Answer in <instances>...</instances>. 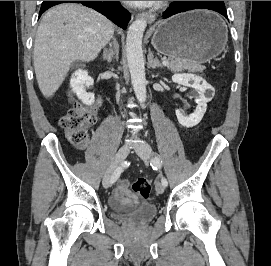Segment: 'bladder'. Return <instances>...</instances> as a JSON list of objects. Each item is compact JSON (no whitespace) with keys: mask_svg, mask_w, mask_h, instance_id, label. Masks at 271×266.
<instances>
[{"mask_svg":"<svg viewBox=\"0 0 271 266\" xmlns=\"http://www.w3.org/2000/svg\"><path fill=\"white\" fill-rule=\"evenodd\" d=\"M113 212L118 218L124 221L136 225H145L156 216L157 208L152 203L144 202L126 213H120L117 209H113Z\"/></svg>","mask_w":271,"mask_h":266,"instance_id":"bladder-1","label":"bladder"}]
</instances>
